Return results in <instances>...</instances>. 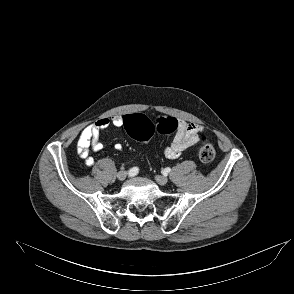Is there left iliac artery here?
<instances>
[{"instance_id": "left-iliac-artery-1", "label": "left iliac artery", "mask_w": 294, "mask_h": 294, "mask_svg": "<svg viewBox=\"0 0 294 294\" xmlns=\"http://www.w3.org/2000/svg\"><path fill=\"white\" fill-rule=\"evenodd\" d=\"M170 171H171V169L169 167H167L163 170V174H168Z\"/></svg>"}]
</instances>
